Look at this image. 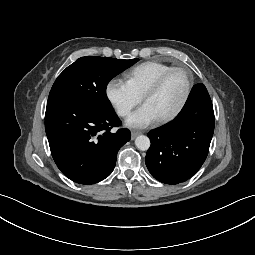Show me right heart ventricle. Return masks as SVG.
Here are the masks:
<instances>
[{"instance_id":"e07e8e85","label":"right heart ventricle","mask_w":255,"mask_h":255,"mask_svg":"<svg viewBox=\"0 0 255 255\" xmlns=\"http://www.w3.org/2000/svg\"><path fill=\"white\" fill-rule=\"evenodd\" d=\"M172 68L171 65L148 61L132 68L127 74V82L142 96L156 79L165 71Z\"/></svg>"}]
</instances>
